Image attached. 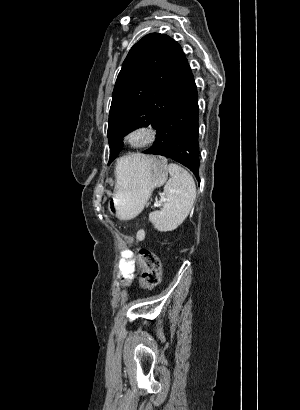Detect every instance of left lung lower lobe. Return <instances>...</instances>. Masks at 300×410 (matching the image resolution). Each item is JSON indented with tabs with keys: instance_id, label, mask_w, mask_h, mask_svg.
I'll list each match as a JSON object with an SVG mask.
<instances>
[{
	"instance_id": "0a47b994",
	"label": "left lung lower lobe",
	"mask_w": 300,
	"mask_h": 410,
	"mask_svg": "<svg viewBox=\"0 0 300 410\" xmlns=\"http://www.w3.org/2000/svg\"><path fill=\"white\" fill-rule=\"evenodd\" d=\"M198 94L191 75L177 102L161 119L154 145L143 151L171 158L188 167L199 180Z\"/></svg>"
}]
</instances>
